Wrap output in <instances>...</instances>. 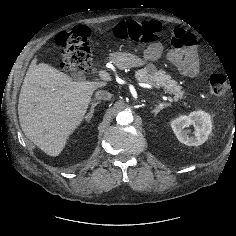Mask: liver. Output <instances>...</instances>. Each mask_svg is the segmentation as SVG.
Listing matches in <instances>:
<instances>
[{"label":"liver","mask_w":236,"mask_h":236,"mask_svg":"<svg viewBox=\"0 0 236 236\" xmlns=\"http://www.w3.org/2000/svg\"><path fill=\"white\" fill-rule=\"evenodd\" d=\"M105 82H76L56 68L31 62L18 102L25 136L50 156H58L82 123L94 91Z\"/></svg>","instance_id":"liver-1"}]
</instances>
